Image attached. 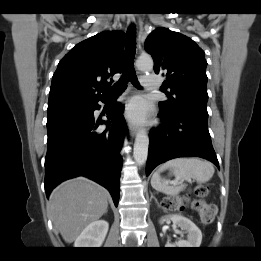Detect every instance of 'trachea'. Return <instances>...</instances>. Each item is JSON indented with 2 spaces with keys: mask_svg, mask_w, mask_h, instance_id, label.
I'll return each instance as SVG.
<instances>
[{
  "mask_svg": "<svg viewBox=\"0 0 261 261\" xmlns=\"http://www.w3.org/2000/svg\"><path fill=\"white\" fill-rule=\"evenodd\" d=\"M135 50L136 29L134 25H131L127 31L125 58L123 62V74L121 78L112 87L109 88V95L121 94L125 90L129 81L132 82V84L136 87H140L134 69Z\"/></svg>",
  "mask_w": 261,
  "mask_h": 261,
  "instance_id": "1",
  "label": "trachea"
}]
</instances>
